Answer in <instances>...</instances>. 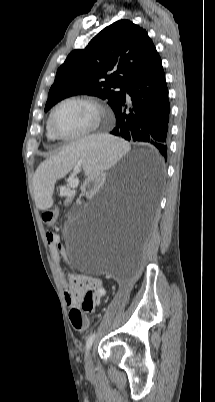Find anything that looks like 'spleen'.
Wrapping results in <instances>:
<instances>
[{
  "label": "spleen",
  "mask_w": 215,
  "mask_h": 402,
  "mask_svg": "<svg viewBox=\"0 0 215 402\" xmlns=\"http://www.w3.org/2000/svg\"><path fill=\"white\" fill-rule=\"evenodd\" d=\"M129 149L128 143L107 135H92L67 146L58 155L43 162L37 170V210L53 209L54 204L48 194L55 181L73 168L78 170L82 166L86 175H93L97 169H109Z\"/></svg>",
  "instance_id": "spleen-1"
}]
</instances>
